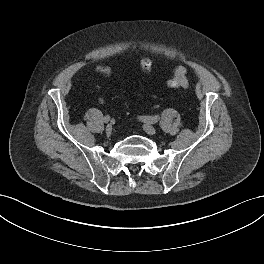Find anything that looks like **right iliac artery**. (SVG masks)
Wrapping results in <instances>:
<instances>
[{
  "label": "right iliac artery",
  "mask_w": 264,
  "mask_h": 264,
  "mask_svg": "<svg viewBox=\"0 0 264 264\" xmlns=\"http://www.w3.org/2000/svg\"><path fill=\"white\" fill-rule=\"evenodd\" d=\"M109 120H110V116L109 115H107V116L104 117V122L107 123V122H109Z\"/></svg>",
  "instance_id": "obj_1"
}]
</instances>
